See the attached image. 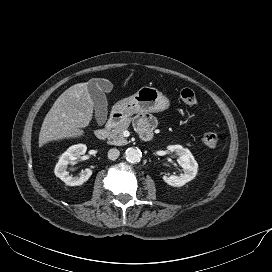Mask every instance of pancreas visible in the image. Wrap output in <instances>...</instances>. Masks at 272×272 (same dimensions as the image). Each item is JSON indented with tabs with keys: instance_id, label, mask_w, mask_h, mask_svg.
<instances>
[{
	"instance_id": "pancreas-1",
	"label": "pancreas",
	"mask_w": 272,
	"mask_h": 272,
	"mask_svg": "<svg viewBox=\"0 0 272 272\" xmlns=\"http://www.w3.org/2000/svg\"><path fill=\"white\" fill-rule=\"evenodd\" d=\"M132 121H134V118H127L123 122L118 123L110 132L108 143L116 146L126 145L128 141L123 136V132L129 128Z\"/></svg>"
}]
</instances>
